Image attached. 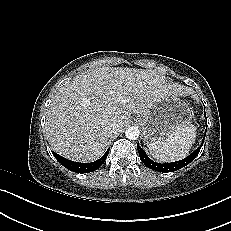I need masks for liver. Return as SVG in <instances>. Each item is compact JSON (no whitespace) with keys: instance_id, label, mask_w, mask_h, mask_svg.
I'll use <instances>...</instances> for the list:
<instances>
[{"instance_id":"6515ba94","label":"liver","mask_w":231,"mask_h":231,"mask_svg":"<svg viewBox=\"0 0 231 231\" xmlns=\"http://www.w3.org/2000/svg\"><path fill=\"white\" fill-rule=\"evenodd\" d=\"M184 94L183 86L167 83L153 70L97 68L56 92L47 111L46 137L65 158L92 162L106 151L109 125L121 131L132 113L143 114L161 98Z\"/></svg>"}]
</instances>
